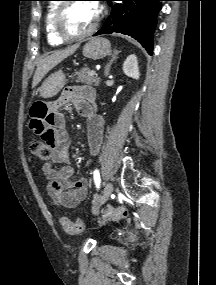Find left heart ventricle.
<instances>
[{
    "mask_svg": "<svg viewBox=\"0 0 216 285\" xmlns=\"http://www.w3.org/2000/svg\"><path fill=\"white\" fill-rule=\"evenodd\" d=\"M96 17L97 10L92 3H73L65 16V28L70 34L84 33L94 24Z\"/></svg>",
    "mask_w": 216,
    "mask_h": 285,
    "instance_id": "b2bd125f",
    "label": "left heart ventricle"
}]
</instances>
